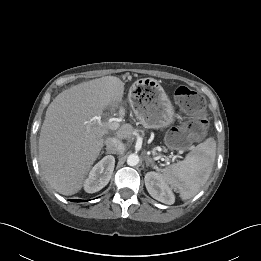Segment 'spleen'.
Wrapping results in <instances>:
<instances>
[{"mask_svg": "<svg viewBox=\"0 0 261 261\" xmlns=\"http://www.w3.org/2000/svg\"><path fill=\"white\" fill-rule=\"evenodd\" d=\"M216 156V142L208 138L197 145L183 161L162 170L164 181L177 189L182 200L194 197L207 182Z\"/></svg>", "mask_w": 261, "mask_h": 261, "instance_id": "spleen-1", "label": "spleen"}]
</instances>
